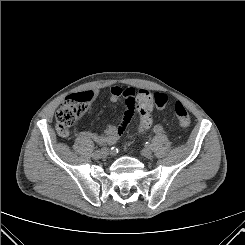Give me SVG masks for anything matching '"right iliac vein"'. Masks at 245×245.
Instances as JSON below:
<instances>
[{"label": "right iliac vein", "instance_id": "right-iliac-vein-1", "mask_svg": "<svg viewBox=\"0 0 245 245\" xmlns=\"http://www.w3.org/2000/svg\"><path fill=\"white\" fill-rule=\"evenodd\" d=\"M93 158L95 159H98V158H102V157H106V156H103V154H100V151H95L93 154H92Z\"/></svg>", "mask_w": 245, "mask_h": 245}]
</instances>
